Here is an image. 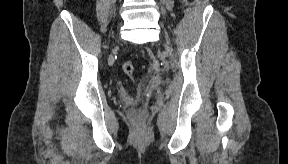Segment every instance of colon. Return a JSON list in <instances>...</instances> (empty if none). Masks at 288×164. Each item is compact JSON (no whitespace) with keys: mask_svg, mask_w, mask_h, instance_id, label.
I'll list each match as a JSON object with an SVG mask.
<instances>
[{"mask_svg":"<svg viewBox=\"0 0 288 164\" xmlns=\"http://www.w3.org/2000/svg\"><path fill=\"white\" fill-rule=\"evenodd\" d=\"M122 69H123V71H124V73L126 74L127 77L133 78V76H134V65H133L132 62L126 61L125 63H123Z\"/></svg>","mask_w":288,"mask_h":164,"instance_id":"5ec220e1","label":"colon"}]
</instances>
